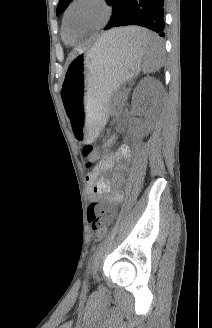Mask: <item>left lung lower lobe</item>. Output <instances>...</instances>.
Wrapping results in <instances>:
<instances>
[{
    "label": "left lung lower lobe",
    "mask_w": 212,
    "mask_h": 328,
    "mask_svg": "<svg viewBox=\"0 0 212 328\" xmlns=\"http://www.w3.org/2000/svg\"><path fill=\"white\" fill-rule=\"evenodd\" d=\"M112 6V16L104 28L139 25L164 37V0H106ZM151 46V43H148Z\"/></svg>",
    "instance_id": "1"
}]
</instances>
